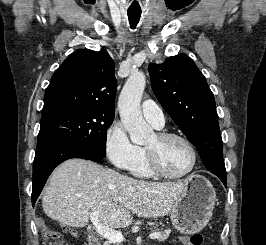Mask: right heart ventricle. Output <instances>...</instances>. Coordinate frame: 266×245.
<instances>
[{
  "label": "right heart ventricle",
  "instance_id": "obj_1",
  "mask_svg": "<svg viewBox=\"0 0 266 245\" xmlns=\"http://www.w3.org/2000/svg\"><path fill=\"white\" fill-rule=\"evenodd\" d=\"M133 174L136 177L141 178V179H153L154 178L153 174L151 173L148 167V164L146 161V155L144 152L138 164L133 169Z\"/></svg>",
  "mask_w": 266,
  "mask_h": 245
}]
</instances>
